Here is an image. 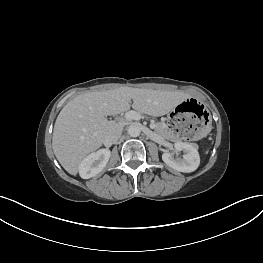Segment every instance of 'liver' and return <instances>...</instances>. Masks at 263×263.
I'll return each mask as SVG.
<instances>
[{"label": "liver", "mask_w": 263, "mask_h": 263, "mask_svg": "<svg viewBox=\"0 0 263 263\" xmlns=\"http://www.w3.org/2000/svg\"><path fill=\"white\" fill-rule=\"evenodd\" d=\"M189 96L181 91H157L120 87L108 91L85 92L69 101L60 111L53 130V152L62 167L71 175L78 173L80 162L101 147L110 131L122 123L108 121L132 108L151 116L172 111Z\"/></svg>", "instance_id": "liver-1"}]
</instances>
